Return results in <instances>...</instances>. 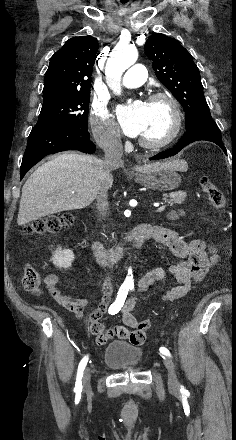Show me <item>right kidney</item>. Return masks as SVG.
I'll use <instances>...</instances> for the list:
<instances>
[{"instance_id": "right-kidney-1", "label": "right kidney", "mask_w": 236, "mask_h": 440, "mask_svg": "<svg viewBox=\"0 0 236 440\" xmlns=\"http://www.w3.org/2000/svg\"><path fill=\"white\" fill-rule=\"evenodd\" d=\"M74 258L73 251L69 249L62 250L59 246L53 253L51 260L56 267L68 269L71 267Z\"/></svg>"}]
</instances>
